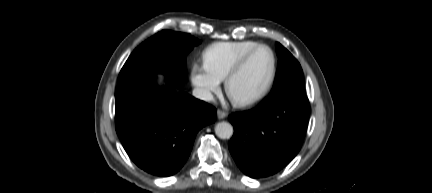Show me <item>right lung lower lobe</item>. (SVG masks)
Returning <instances> with one entry per match:
<instances>
[{
    "instance_id": "right-lung-lower-lobe-1",
    "label": "right lung lower lobe",
    "mask_w": 432,
    "mask_h": 193,
    "mask_svg": "<svg viewBox=\"0 0 432 193\" xmlns=\"http://www.w3.org/2000/svg\"><path fill=\"white\" fill-rule=\"evenodd\" d=\"M167 78L158 87L154 74L118 83L116 132L133 162L156 176H170L186 162L197 132L216 120V110L178 90Z\"/></svg>"
}]
</instances>
